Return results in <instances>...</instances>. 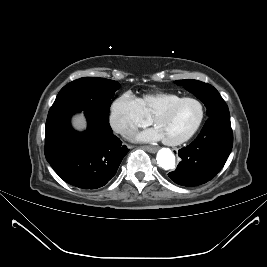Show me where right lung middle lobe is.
<instances>
[{
    "mask_svg": "<svg viewBox=\"0 0 267 267\" xmlns=\"http://www.w3.org/2000/svg\"><path fill=\"white\" fill-rule=\"evenodd\" d=\"M119 87L116 81L98 77L74 80L60 90L48 117L66 109H79L95 111L109 118L111 100Z\"/></svg>",
    "mask_w": 267,
    "mask_h": 267,
    "instance_id": "1",
    "label": "right lung middle lobe"
}]
</instances>
